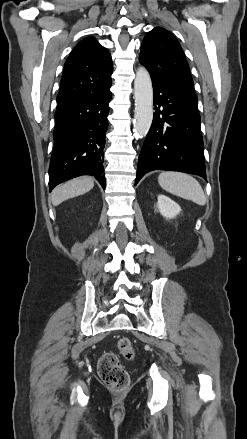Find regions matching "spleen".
I'll return each mask as SVG.
<instances>
[{
    "label": "spleen",
    "instance_id": "spleen-1",
    "mask_svg": "<svg viewBox=\"0 0 247 439\" xmlns=\"http://www.w3.org/2000/svg\"><path fill=\"white\" fill-rule=\"evenodd\" d=\"M159 185L167 192L191 200L203 206L205 194L199 182L192 176L180 172H162L158 177Z\"/></svg>",
    "mask_w": 247,
    "mask_h": 439
}]
</instances>
